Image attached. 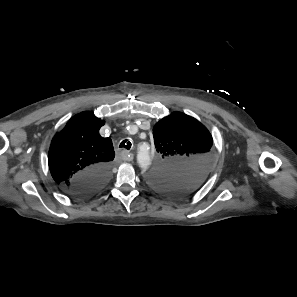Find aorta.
Returning <instances> with one entry per match:
<instances>
[{
  "label": "aorta",
  "mask_w": 297,
  "mask_h": 297,
  "mask_svg": "<svg viewBox=\"0 0 297 297\" xmlns=\"http://www.w3.org/2000/svg\"><path fill=\"white\" fill-rule=\"evenodd\" d=\"M138 163L143 171H147L151 165V157L148 151L140 150L138 152Z\"/></svg>",
  "instance_id": "762f6f07"
}]
</instances>
